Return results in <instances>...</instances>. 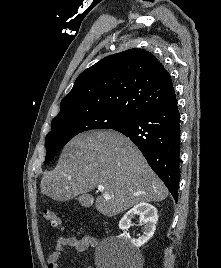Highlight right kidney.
<instances>
[{
  "mask_svg": "<svg viewBox=\"0 0 221 268\" xmlns=\"http://www.w3.org/2000/svg\"><path fill=\"white\" fill-rule=\"evenodd\" d=\"M136 216H139L140 222H143L144 224L142 228L143 235L139 239H132L127 234V230L130 227L131 219ZM157 221V209L148 203H139L129 210L120 220L119 228L123 231V233L119 236V239L126 243H131L134 247L139 248L153 236Z\"/></svg>",
  "mask_w": 221,
  "mask_h": 268,
  "instance_id": "right-kidney-1",
  "label": "right kidney"
}]
</instances>
